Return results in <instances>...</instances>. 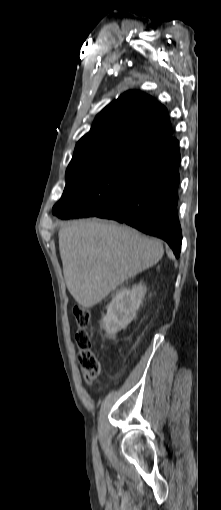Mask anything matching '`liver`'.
Wrapping results in <instances>:
<instances>
[{
  "label": "liver",
  "instance_id": "6515ba94",
  "mask_svg": "<svg viewBox=\"0 0 221 510\" xmlns=\"http://www.w3.org/2000/svg\"><path fill=\"white\" fill-rule=\"evenodd\" d=\"M66 286L85 308L100 303L129 278L162 258L161 241L97 219L66 224L58 233Z\"/></svg>",
  "mask_w": 221,
  "mask_h": 510
}]
</instances>
